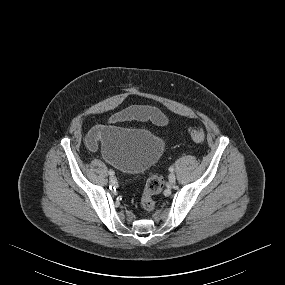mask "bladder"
I'll return each mask as SVG.
<instances>
[{
	"mask_svg": "<svg viewBox=\"0 0 285 285\" xmlns=\"http://www.w3.org/2000/svg\"><path fill=\"white\" fill-rule=\"evenodd\" d=\"M101 150L106 161L126 173H140L160 158L164 142L146 129L104 125Z\"/></svg>",
	"mask_w": 285,
	"mask_h": 285,
	"instance_id": "1",
	"label": "bladder"
}]
</instances>
